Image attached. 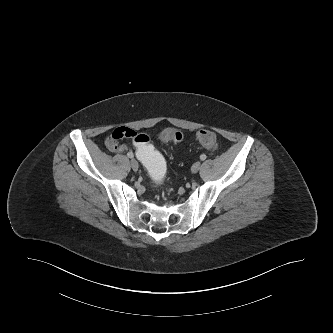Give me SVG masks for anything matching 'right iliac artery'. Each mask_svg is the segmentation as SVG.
Listing matches in <instances>:
<instances>
[{"label":"right iliac artery","instance_id":"1","mask_svg":"<svg viewBox=\"0 0 333 333\" xmlns=\"http://www.w3.org/2000/svg\"><path fill=\"white\" fill-rule=\"evenodd\" d=\"M127 156H128L129 158H133V157H134V154H133L132 152H128V153H127Z\"/></svg>","mask_w":333,"mask_h":333}]
</instances>
